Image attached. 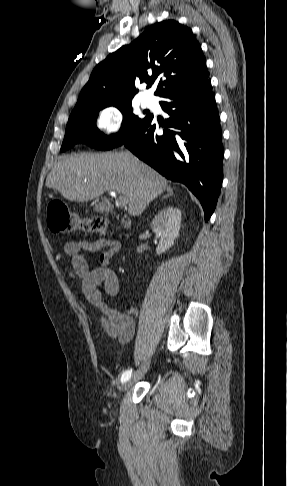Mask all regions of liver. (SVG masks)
Here are the masks:
<instances>
[{"label":"liver","mask_w":287,"mask_h":486,"mask_svg":"<svg viewBox=\"0 0 287 486\" xmlns=\"http://www.w3.org/2000/svg\"><path fill=\"white\" fill-rule=\"evenodd\" d=\"M46 186L76 202L117 192L128 200L131 216L141 215L168 187L164 177L130 152L62 157L48 174Z\"/></svg>","instance_id":"6515ba94"}]
</instances>
